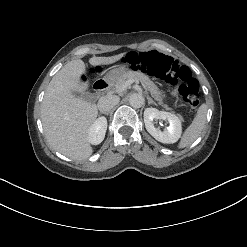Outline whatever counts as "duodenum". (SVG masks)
I'll use <instances>...</instances> for the list:
<instances>
[{"instance_id":"410a0bca","label":"duodenum","mask_w":247,"mask_h":247,"mask_svg":"<svg viewBox=\"0 0 247 247\" xmlns=\"http://www.w3.org/2000/svg\"><path fill=\"white\" fill-rule=\"evenodd\" d=\"M108 89V85L103 80H97L93 84V90L97 95H103Z\"/></svg>"}]
</instances>
